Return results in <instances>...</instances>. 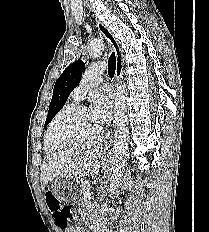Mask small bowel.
Returning <instances> with one entry per match:
<instances>
[{
    "instance_id": "c3829d8e",
    "label": "small bowel",
    "mask_w": 209,
    "mask_h": 232,
    "mask_svg": "<svg viewBox=\"0 0 209 232\" xmlns=\"http://www.w3.org/2000/svg\"><path fill=\"white\" fill-rule=\"evenodd\" d=\"M87 216L90 217L91 219H93L95 222H97L98 213L95 209L90 208L87 212ZM63 229H64V232H82L79 227H66Z\"/></svg>"
}]
</instances>
